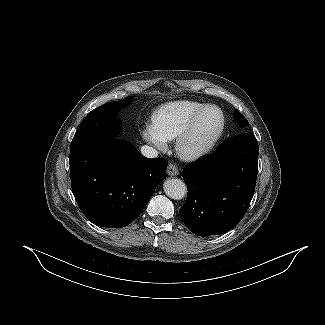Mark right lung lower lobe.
<instances>
[{
	"mask_svg": "<svg viewBox=\"0 0 325 325\" xmlns=\"http://www.w3.org/2000/svg\"><path fill=\"white\" fill-rule=\"evenodd\" d=\"M69 163L81 211L109 228L125 227L140 215L168 165L163 158H145L126 140L89 135L73 137Z\"/></svg>",
	"mask_w": 325,
	"mask_h": 325,
	"instance_id": "1",
	"label": "right lung lower lobe"
}]
</instances>
